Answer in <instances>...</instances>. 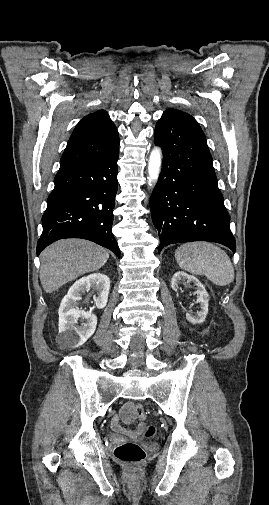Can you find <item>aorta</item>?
I'll return each instance as SVG.
<instances>
[{"instance_id":"762f6f07","label":"aorta","mask_w":269,"mask_h":505,"mask_svg":"<svg viewBox=\"0 0 269 505\" xmlns=\"http://www.w3.org/2000/svg\"><path fill=\"white\" fill-rule=\"evenodd\" d=\"M162 165V154L160 147H154L148 160V184H155L159 178Z\"/></svg>"}]
</instances>
